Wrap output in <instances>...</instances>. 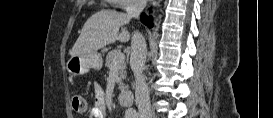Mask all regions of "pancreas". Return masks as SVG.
I'll list each match as a JSON object with an SVG mask.
<instances>
[{"label":"pancreas","mask_w":273,"mask_h":118,"mask_svg":"<svg viewBox=\"0 0 273 118\" xmlns=\"http://www.w3.org/2000/svg\"><path fill=\"white\" fill-rule=\"evenodd\" d=\"M119 50H113L111 52H109L106 56V61H105V66L110 68L114 63H117V67H118V89L120 91H124L127 87L125 86V84L123 83V80L126 79V62L125 60H120L117 61L116 57L117 54L119 53Z\"/></svg>","instance_id":"obj_1"}]
</instances>
